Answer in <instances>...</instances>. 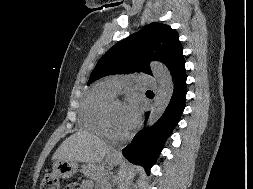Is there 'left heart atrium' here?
Here are the masks:
<instances>
[{"label": "left heart atrium", "mask_w": 253, "mask_h": 189, "mask_svg": "<svg viewBox=\"0 0 253 189\" xmlns=\"http://www.w3.org/2000/svg\"><path fill=\"white\" fill-rule=\"evenodd\" d=\"M125 112L131 126H134L137 123L140 113L139 104L136 98H130L129 101L125 104Z\"/></svg>", "instance_id": "1"}]
</instances>
